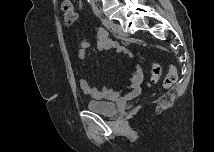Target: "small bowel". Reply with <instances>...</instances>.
<instances>
[{
	"label": "small bowel",
	"mask_w": 215,
	"mask_h": 152,
	"mask_svg": "<svg viewBox=\"0 0 215 152\" xmlns=\"http://www.w3.org/2000/svg\"><path fill=\"white\" fill-rule=\"evenodd\" d=\"M96 39H97V48L99 50H109L114 49L119 53L125 54L128 57H133V53L126 47L118 42L112 40L109 36L107 30L100 28L96 31ZM90 44L86 41H82L80 48L77 51V57L80 60H84L87 56V49L89 48ZM144 82V76L142 69L138 63H134L132 73L127 85L126 91L119 93L114 92L108 88H95L90 85V83L82 78L80 80V87L82 91L90 95L96 99L101 100H113L115 98L124 96V97H134L136 96L140 90L141 86Z\"/></svg>",
	"instance_id": "c3829d8e"
}]
</instances>
